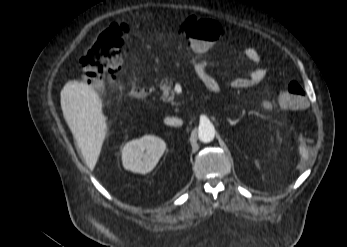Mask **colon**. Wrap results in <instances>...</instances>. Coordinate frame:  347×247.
Returning a JSON list of instances; mask_svg holds the SVG:
<instances>
[{"label":"colon","mask_w":347,"mask_h":247,"mask_svg":"<svg viewBox=\"0 0 347 247\" xmlns=\"http://www.w3.org/2000/svg\"><path fill=\"white\" fill-rule=\"evenodd\" d=\"M130 27L126 23H113L105 29L89 46L81 58L80 66L84 80L94 89L101 92L119 74L123 66L124 38ZM180 36L196 52H209L225 37L222 26L211 19L198 16L186 18L179 26ZM276 105L282 109L300 110L306 106L303 86L297 81L284 85ZM266 109L273 104L263 102Z\"/></svg>","instance_id":"obj_1"}]
</instances>
